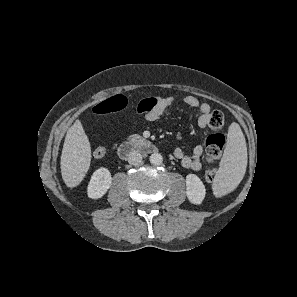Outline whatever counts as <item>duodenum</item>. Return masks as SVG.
Listing matches in <instances>:
<instances>
[{"label":"duodenum","mask_w":297,"mask_h":297,"mask_svg":"<svg viewBox=\"0 0 297 297\" xmlns=\"http://www.w3.org/2000/svg\"><path fill=\"white\" fill-rule=\"evenodd\" d=\"M156 149L155 145L150 141L139 138L123 142L118 147V155L121 159H129L135 152L152 153Z\"/></svg>","instance_id":"obj_1"}]
</instances>
